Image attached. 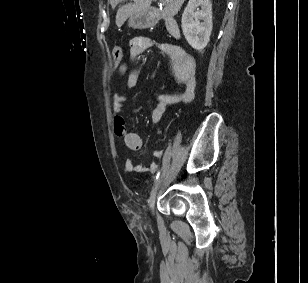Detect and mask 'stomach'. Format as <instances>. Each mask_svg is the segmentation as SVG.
I'll return each instance as SVG.
<instances>
[{"mask_svg":"<svg viewBox=\"0 0 308 283\" xmlns=\"http://www.w3.org/2000/svg\"><path fill=\"white\" fill-rule=\"evenodd\" d=\"M152 24V18L148 13H138L129 17L128 25L135 29L149 27Z\"/></svg>","mask_w":308,"mask_h":283,"instance_id":"stomach-1","label":"stomach"}]
</instances>
